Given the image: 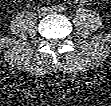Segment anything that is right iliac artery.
<instances>
[{"mask_svg":"<svg viewBox=\"0 0 111 106\" xmlns=\"http://www.w3.org/2000/svg\"><path fill=\"white\" fill-rule=\"evenodd\" d=\"M51 8H52V10H57V9H58V6L53 5Z\"/></svg>","mask_w":111,"mask_h":106,"instance_id":"right-iliac-artery-1","label":"right iliac artery"}]
</instances>
